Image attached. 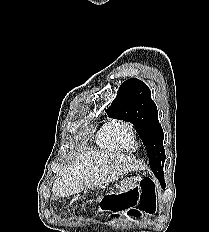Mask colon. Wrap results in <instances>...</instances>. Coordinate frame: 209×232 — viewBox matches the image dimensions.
<instances>
[{
	"mask_svg": "<svg viewBox=\"0 0 209 232\" xmlns=\"http://www.w3.org/2000/svg\"><path fill=\"white\" fill-rule=\"evenodd\" d=\"M102 211H114L116 214L127 212L132 216L154 215L158 210L155 183L151 179L141 180L135 187L122 193H107L99 201Z\"/></svg>",
	"mask_w": 209,
	"mask_h": 232,
	"instance_id": "5ec220e1",
	"label": "colon"
}]
</instances>
